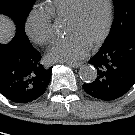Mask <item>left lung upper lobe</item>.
Listing matches in <instances>:
<instances>
[{"label":"left lung upper lobe","mask_w":135,"mask_h":135,"mask_svg":"<svg viewBox=\"0 0 135 135\" xmlns=\"http://www.w3.org/2000/svg\"><path fill=\"white\" fill-rule=\"evenodd\" d=\"M114 22L105 44L120 40L135 31V0H113Z\"/></svg>","instance_id":"left-lung-upper-lobe-1"}]
</instances>
